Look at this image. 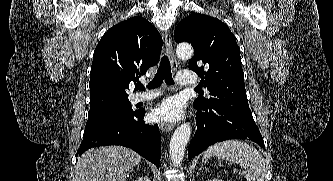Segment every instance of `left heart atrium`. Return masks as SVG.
<instances>
[{
  "label": "left heart atrium",
  "instance_id": "left-heart-atrium-1",
  "mask_svg": "<svg viewBox=\"0 0 333 181\" xmlns=\"http://www.w3.org/2000/svg\"><path fill=\"white\" fill-rule=\"evenodd\" d=\"M183 115V105L177 98H169L163 101L152 111V118L157 121L176 122Z\"/></svg>",
  "mask_w": 333,
  "mask_h": 181
}]
</instances>
